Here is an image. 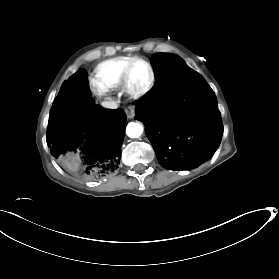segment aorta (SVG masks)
<instances>
[{
	"mask_svg": "<svg viewBox=\"0 0 279 279\" xmlns=\"http://www.w3.org/2000/svg\"><path fill=\"white\" fill-rule=\"evenodd\" d=\"M143 133V127L140 123L130 122L126 127V134L130 138H138Z\"/></svg>",
	"mask_w": 279,
	"mask_h": 279,
	"instance_id": "obj_1",
	"label": "aorta"
}]
</instances>
